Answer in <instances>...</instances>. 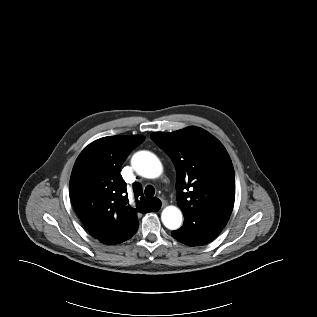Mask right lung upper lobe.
<instances>
[{
    "label": "right lung upper lobe",
    "mask_w": 317,
    "mask_h": 317,
    "mask_svg": "<svg viewBox=\"0 0 317 317\" xmlns=\"http://www.w3.org/2000/svg\"><path fill=\"white\" fill-rule=\"evenodd\" d=\"M144 141L139 135L104 137L78 156L70 178V198L78 217L92 236L114 245L137 231V214L152 212L158 198H145L142 186H133L128 198L120 167L129 153Z\"/></svg>",
    "instance_id": "1"
}]
</instances>
